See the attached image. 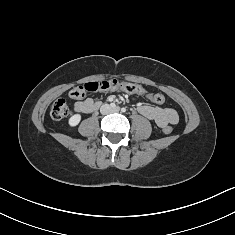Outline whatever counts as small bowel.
Instances as JSON below:
<instances>
[{"label": "small bowel", "mask_w": 235, "mask_h": 235, "mask_svg": "<svg viewBox=\"0 0 235 235\" xmlns=\"http://www.w3.org/2000/svg\"><path fill=\"white\" fill-rule=\"evenodd\" d=\"M95 104H99L92 98H86L81 101H77L74 105V109L79 113H90L91 107ZM138 112L146 118L154 121L159 127L164 128L168 125H175L179 121V115L173 108H160L153 107L148 104H140L138 106Z\"/></svg>", "instance_id": "obj_1"}]
</instances>
